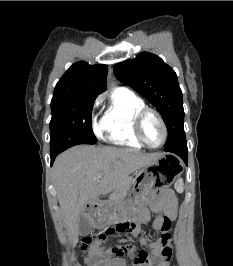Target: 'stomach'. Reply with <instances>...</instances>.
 Returning <instances> with one entry per match:
<instances>
[{
	"mask_svg": "<svg viewBox=\"0 0 233 266\" xmlns=\"http://www.w3.org/2000/svg\"><path fill=\"white\" fill-rule=\"evenodd\" d=\"M182 161H178L176 152H161L157 156V161L136 171L132 179V187L129 190V199L148 200L150 195L155 194L169 185H178L183 167ZM119 204V199H112V204H101L94 215L97 227L119 228L120 225H127V220H122V216H117L115 209Z\"/></svg>",
	"mask_w": 233,
	"mask_h": 266,
	"instance_id": "1",
	"label": "stomach"
}]
</instances>
